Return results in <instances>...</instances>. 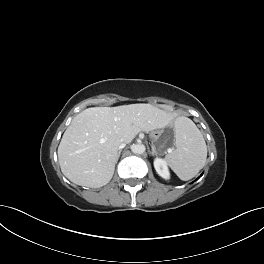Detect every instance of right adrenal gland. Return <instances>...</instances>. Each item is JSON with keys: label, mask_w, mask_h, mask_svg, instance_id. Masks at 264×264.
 <instances>
[{"label": "right adrenal gland", "mask_w": 264, "mask_h": 264, "mask_svg": "<svg viewBox=\"0 0 264 264\" xmlns=\"http://www.w3.org/2000/svg\"><path fill=\"white\" fill-rule=\"evenodd\" d=\"M120 154H121V150H119V152H118V159H119V157H120Z\"/></svg>", "instance_id": "obj_1"}]
</instances>
